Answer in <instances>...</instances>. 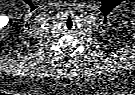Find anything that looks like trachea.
Listing matches in <instances>:
<instances>
[{
  "label": "trachea",
  "instance_id": "1",
  "mask_svg": "<svg viewBox=\"0 0 135 95\" xmlns=\"http://www.w3.org/2000/svg\"><path fill=\"white\" fill-rule=\"evenodd\" d=\"M65 24H66V27L70 30L73 27L72 19L68 17Z\"/></svg>",
  "mask_w": 135,
  "mask_h": 95
}]
</instances>
